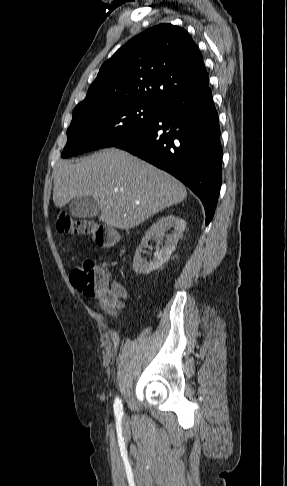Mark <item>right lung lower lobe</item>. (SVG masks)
I'll return each instance as SVG.
<instances>
[{
	"mask_svg": "<svg viewBox=\"0 0 287 486\" xmlns=\"http://www.w3.org/2000/svg\"><path fill=\"white\" fill-rule=\"evenodd\" d=\"M161 168L202 201L206 224L217 205L222 172L218 113L209 86L174 97L142 132L115 145Z\"/></svg>",
	"mask_w": 287,
	"mask_h": 486,
	"instance_id": "1",
	"label": "right lung lower lobe"
}]
</instances>
